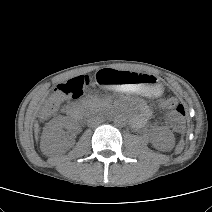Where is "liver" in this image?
I'll return each mask as SVG.
<instances>
[{
	"mask_svg": "<svg viewBox=\"0 0 212 212\" xmlns=\"http://www.w3.org/2000/svg\"><path fill=\"white\" fill-rule=\"evenodd\" d=\"M34 132H35V136L37 137L38 132H39V124H38V122H35V124H34Z\"/></svg>",
	"mask_w": 212,
	"mask_h": 212,
	"instance_id": "liver-1",
	"label": "liver"
}]
</instances>
